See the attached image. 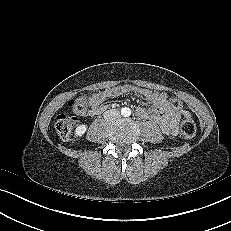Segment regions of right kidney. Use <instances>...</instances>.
Wrapping results in <instances>:
<instances>
[{
  "instance_id": "1",
  "label": "right kidney",
  "mask_w": 231,
  "mask_h": 231,
  "mask_svg": "<svg viewBox=\"0 0 231 231\" xmlns=\"http://www.w3.org/2000/svg\"><path fill=\"white\" fill-rule=\"evenodd\" d=\"M87 130V125L85 124H80L79 126L76 127L75 132H74V137H82Z\"/></svg>"
}]
</instances>
